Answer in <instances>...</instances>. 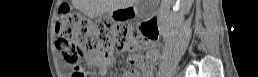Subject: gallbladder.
Wrapping results in <instances>:
<instances>
[{
  "mask_svg": "<svg viewBox=\"0 0 258 77\" xmlns=\"http://www.w3.org/2000/svg\"><path fill=\"white\" fill-rule=\"evenodd\" d=\"M148 2H149L148 0H142L137 5L136 12H137L138 16H140V17L147 16V14L152 11Z\"/></svg>",
  "mask_w": 258,
  "mask_h": 77,
  "instance_id": "1",
  "label": "gallbladder"
}]
</instances>
